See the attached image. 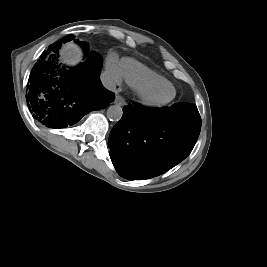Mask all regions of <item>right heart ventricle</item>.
Instances as JSON below:
<instances>
[{
	"label": "right heart ventricle",
	"mask_w": 267,
	"mask_h": 267,
	"mask_svg": "<svg viewBox=\"0 0 267 267\" xmlns=\"http://www.w3.org/2000/svg\"><path fill=\"white\" fill-rule=\"evenodd\" d=\"M121 67L123 77L135 88L146 83L168 82L163 76L132 59H123Z\"/></svg>",
	"instance_id": "e07e8e85"
}]
</instances>
